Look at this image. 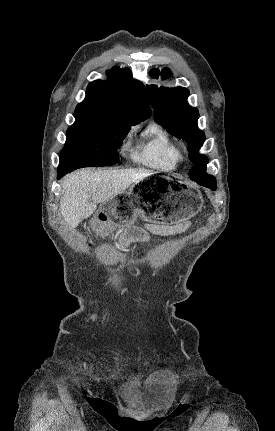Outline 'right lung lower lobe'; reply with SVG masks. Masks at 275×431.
<instances>
[{
    "label": "right lung lower lobe",
    "instance_id": "98d812e1",
    "mask_svg": "<svg viewBox=\"0 0 275 431\" xmlns=\"http://www.w3.org/2000/svg\"><path fill=\"white\" fill-rule=\"evenodd\" d=\"M67 173H69V172L68 171L58 170L57 178L60 179L62 176H64Z\"/></svg>",
    "mask_w": 275,
    "mask_h": 431
}]
</instances>
